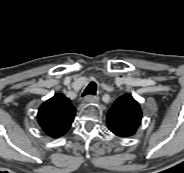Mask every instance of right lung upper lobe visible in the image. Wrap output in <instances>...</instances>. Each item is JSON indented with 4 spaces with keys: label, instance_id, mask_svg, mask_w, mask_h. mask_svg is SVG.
<instances>
[{
    "label": "right lung upper lobe",
    "instance_id": "right-lung-upper-lobe-1",
    "mask_svg": "<svg viewBox=\"0 0 184 173\" xmlns=\"http://www.w3.org/2000/svg\"><path fill=\"white\" fill-rule=\"evenodd\" d=\"M75 111L69 98L55 94L40 106L37 118L48 136L59 138L70 129Z\"/></svg>",
    "mask_w": 184,
    "mask_h": 173
}]
</instances>
